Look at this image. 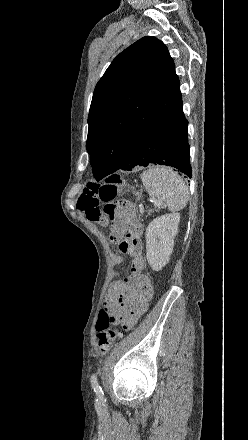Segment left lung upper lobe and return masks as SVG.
I'll list each match as a JSON object with an SVG mask.
<instances>
[{"instance_id":"1","label":"left lung upper lobe","mask_w":248,"mask_h":440,"mask_svg":"<svg viewBox=\"0 0 248 440\" xmlns=\"http://www.w3.org/2000/svg\"><path fill=\"white\" fill-rule=\"evenodd\" d=\"M182 101L166 45L146 36L121 52L97 83L86 148L96 180L115 172L131 146Z\"/></svg>"}]
</instances>
